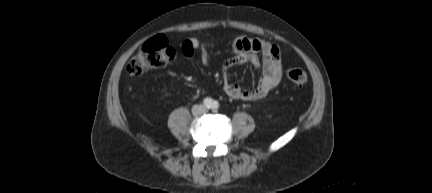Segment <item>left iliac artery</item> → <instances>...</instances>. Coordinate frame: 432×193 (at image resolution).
Segmentation results:
<instances>
[{"label": "left iliac artery", "instance_id": "obj_1", "mask_svg": "<svg viewBox=\"0 0 432 193\" xmlns=\"http://www.w3.org/2000/svg\"><path fill=\"white\" fill-rule=\"evenodd\" d=\"M211 108L213 111H217L219 108V103L217 101H213Z\"/></svg>", "mask_w": 432, "mask_h": 193}]
</instances>
